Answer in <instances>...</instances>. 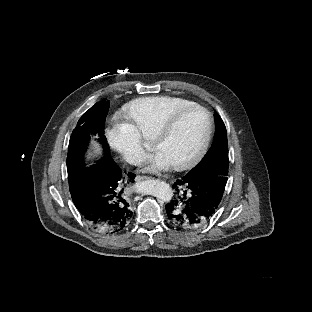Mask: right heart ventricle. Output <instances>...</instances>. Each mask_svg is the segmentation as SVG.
<instances>
[{"instance_id":"e07e8e85","label":"right heart ventricle","mask_w":312,"mask_h":312,"mask_svg":"<svg viewBox=\"0 0 312 312\" xmlns=\"http://www.w3.org/2000/svg\"><path fill=\"white\" fill-rule=\"evenodd\" d=\"M191 106L186 94H148L131 97L126 109L133 114L130 126L139 138L150 139L157 136L167 126V120L181 114Z\"/></svg>"}]
</instances>
